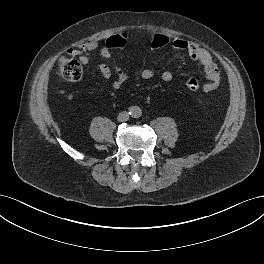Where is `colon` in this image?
Masks as SVG:
<instances>
[{"instance_id":"5ec220e1","label":"colon","mask_w":264,"mask_h":264,"mask_svg":"<svg viewBox=\"0 0 264 264\" xmlns=\"http://www.w3.org/2000/svg\"><path fill=\"white\" fill-rule=\"evenodd\" d=\"M169 37L163 33H155L151 37L150 46L152 50H160L168 45ZM128 44V35L125 32H118L105 41V46L109 50L122 49ZM58 75L66 81H78L82 77V67L80 63L70 57L62 56L58 61ZM185 87L190 91H198L201 88L197 78H190L185 82ZM204 89V85H203Z\"/></svg>"}]
</instances>
